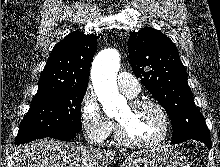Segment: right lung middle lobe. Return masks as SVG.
<instances>
[{
  "label": "right lung middle lobe",
  "instance_id": "obj_1",
  "mask_svg": "<svg viewBox=\"0 0 220 167\" xmlns=\"http://www.w3.org/2000/svg\"><path fill=\"white\" fill-rule=\"evenodd\" d=\"M86 90L87 88H65L33 99L20 124L15 144L26 143L43 136L80 132V106Z\"/></svg>",
  "mask_w": 220,
  "mask_h": 167
}]
</instances>
